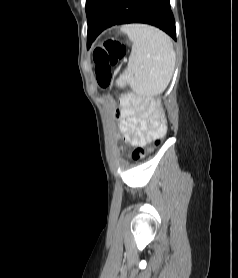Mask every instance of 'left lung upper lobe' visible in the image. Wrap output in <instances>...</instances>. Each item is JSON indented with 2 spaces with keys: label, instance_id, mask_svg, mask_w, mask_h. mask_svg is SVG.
Listing matches in <instances>:
<instances>
[{
  "label": "left lung upper lobe",
  "instance_id": "5c2ea615",
  "mask_svg": "<svg viewBox=\"0 0 238 278\" xmlns=\"http://www.w3.org/2000/svg\"><path fill=\"white\" fill-rule=\"evenodd\" d=\"M99 1L100 0H86V15L88 21Z\"/></svg>",
  "mask_w": 238,
  "mask_h": 278
}]
</instances>
